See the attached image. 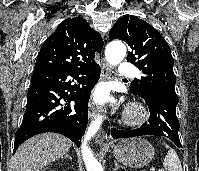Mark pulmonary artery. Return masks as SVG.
Here are the masks:
<instances>
[{
  "label": "pulmonary artery",
  "mask_w": 199,
  "mask_h": 171,
  "mask_svg": "<svg viewBox=\"0 0 199 171\" xmlns=\"http://www.w3.org/2000/svg\"><path fill=\"white\" fill-rule=\"evenodd\" d=\"M119 73L124 76H134L136 74V68L130 63H121Z\"/></svg>",
  "instance_id": "1"
}]
</instances>
